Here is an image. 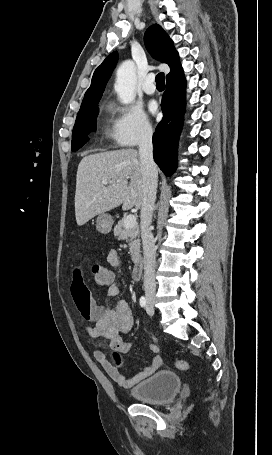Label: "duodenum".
<instances>
[{
	"instance_id": "obj_1",
	"label": "duodenum",
	"mask_w": 272,
	"mask_h": 455,
	"mask_svg": "<svg viewBox=\"0 0 272 455\" xmlns=\"http://www.w3.org/2000/svg\"><path fill=\"white\" fill-rule=\"evenodd\" d=\"M144 261L141 256L137 257L135 260V264L132 270V277L135 280H139L142 276L143 272Z\"/></svg>"
}]
</instances>
